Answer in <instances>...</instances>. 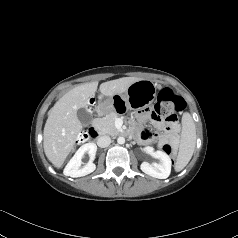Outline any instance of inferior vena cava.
<instances>
[{"label": "inferior vena cava", "instance_id": "inferior-vena-cava-1", "mask_svg": "<svg viewBox=\"0 0 238 238\" xmlns=\"http://www.w3.org/2000/svg\"><path fill=\"white\" fill-rule=\"evenodd\" d=\"M111 143V138L109 136H101L97 140V145L101 148L108 147Z\"/></svg>", "mask_w": 238, "mask_h": 238}]
</instances>
